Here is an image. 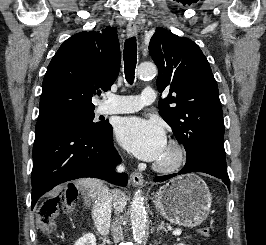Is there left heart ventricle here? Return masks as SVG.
Segmentation results:
<instances>
[{"instance_id": "obj_1", "label": "left heart ventricle", "mask_w": 266, "mask_h": 245, "mask_svg": "<svg viewBox=\"0 0 266 245\" xmlns=\"http://www.w3.org/2000/svg\"><path fill=\"white\" fill-rule=\"evenodd\" d=\"M175 156H176L175 149L166 145L164 151L162 152L157 162L167 164V163L172 162Z\"/></svg>"}]
</instances>
